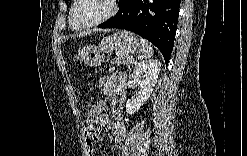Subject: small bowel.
Segmentation results:
<instances>
[{
	"label": "small bowel",
	"mask_w": 247,
	"mask_h": 156,
	"mask_svg": "<svg viewBox=\"0 0 247 156\" xmlns=\"http://www.w3.org/2000/svg\"><path fill=\"white\" fill-rule=\"evenodd\" d=\"M100 89L107 99L114 100L116 97L123 98L125 96V77L121 73H114L110 76L103 77L100 81ZM93 107V104L88 105L87 110ZM105 106H102V118L98 121V126H104L109 122V115L104 112ZM112 117L114 124L112 126V137L116 144L120 145L126 137V125L122 113L117 109L113 108ZM87 118L85 117V120ZM85 120L83 124V133L85 137L86 151L91 156L93 155V145L99 140L96 130H87L85 125Z\"/></svg>",
	"instance_id": "obj_1"
}]
</instances>
